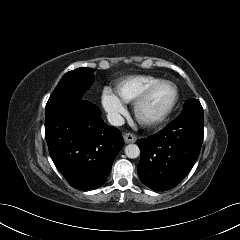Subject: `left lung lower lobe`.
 <instances>
[{"label": "left lung lower lobe", "mask_w": 240, "mask_h": 240, "mask_svg": "<svg viewBox=\"0 0 240 240\" xmlns=\"http://www.w3.org/2000/svg\"><path fill=\"white\" fill-rule=\"evenodd\" d=\"M201 104L185 106L163 130L137 140L138 176L147 187L166 191L178 185L196 162L203 142Z\"/></svg>", "instance_id": "1"}]
</instances>
